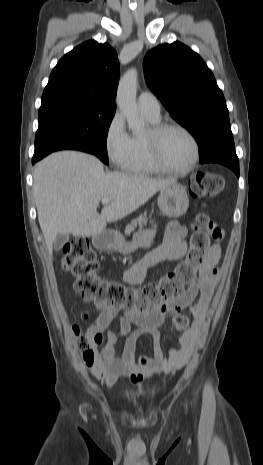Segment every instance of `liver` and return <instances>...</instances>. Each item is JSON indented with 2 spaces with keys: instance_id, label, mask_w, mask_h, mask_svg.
Returning a JSON list of instances; mask_svg holds the SVG:
<instances>
[{
  "instance_id": "1",
  "label": "liver",
  "mask_w": 263,
  "mask_h": 465,
  "mask_svg": "<svg viewBox=\"0 0 263 465\" xmlns=\"http://www.w3.org/2000/svg\"><path fill=\"white\" fill-rule=\"evenodd\" d=\"M38 221L50 256L60 234L90 237L104 231L145 204L175 179H153L119 172L105 173L96 157L77 151L53 153L40 161L33 174ZM104 198L113 201L101 214Z\"/></svg>"
}]
</instances>
